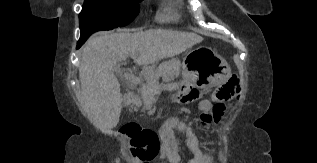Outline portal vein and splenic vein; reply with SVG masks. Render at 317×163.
Instances as JSON below:
<instances>
[{"label": "portal vein and splenic vein", "instance_id": "1", "mask_svg": "<svg viewBox=\"0 0 317 163\" xmlns=\"http://www.w3.org/2000/svg\"><path fill=\"white\" fill-rule=\"evenodd\" d=\"M133 59H135V57H133ZM123 77L130 83L132 84H139L140 83V78L139 77H136L132 74H129V73H124L123 74Z\"/></svg>", "mask_w": 317, "mask_h": 163}]
</instances>
